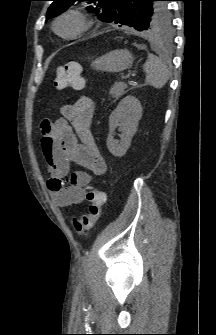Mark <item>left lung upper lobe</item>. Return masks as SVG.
I'll list each match as a JSON object with an SVG mask.
<instances>
[{
	"label": "left lung upper lobe",
	"instance_id": "left-lung-upper-lobe-1",
	"mask_svg": "<svg viewBox=\"0 0 216 335\" xmlns=\"http://www.w3.org/2000/svg\"><path fill=\"white\" fill-rule=\"evenodd\" d=\"M46 19L54 18L64 12L76 1L52 0ZM89 12L95 13L102 21L114 22L119 27L128 26L147 33H168L171 30V15L167 0H85Z\"/></svg>",
	"mask_w": 216,
	"mask_h": 335
}]
</instances>
